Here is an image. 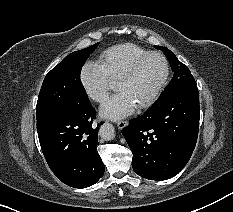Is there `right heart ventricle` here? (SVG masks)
I'll return each mask as SVG.
<instances>
[{
	"label": "right heart ventricle",
	"instance_id": "right-heart-ventricle-1",
	"mask_svg": "<svg viewBox=\"0 0 233 212\" xmlns=\"http://www.w3.org/2000/svg\"><path fill=\"white\" fill-rule=\"evenodd\" d=\"M147 53L148 50L133 43L118 44L104 50L97 64L110 81H116L134 60Z\"/></svg>",
	"mask_w": 233,
	"mask_h": 212
}]
</instances>
